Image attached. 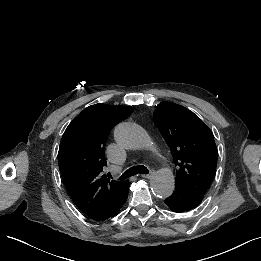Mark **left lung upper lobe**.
<instances>
[{"instance_id": "obj_1", "label": "left lung upper lobe", "mask_w": 261, "mask_h": 261, "mask_svg": "<svg viewBox=\"0 0 261 261\" xmlns=\"http://www.w3.org/2000/svg\"><path fill=\"white\" fill-rule=\"evenodd\" d=\"M154 120L178 167L175 185L204 195L217 165L211 130L192 111L175 103L157 105Z\"/></svg>"}]
</instances>
